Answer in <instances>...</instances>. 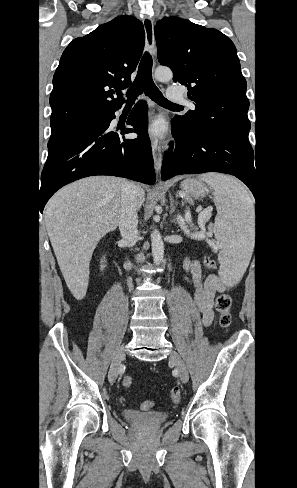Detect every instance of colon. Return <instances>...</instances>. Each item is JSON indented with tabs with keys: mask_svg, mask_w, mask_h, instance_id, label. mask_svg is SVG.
<instances>
[{
	"mask_svg": "<svg viewBox=\"0 0 297 488\" xmlns=\"http://www.w3.org/2000/svg\"><path fill=\"white\" fill-rule=\"evenodd\" d=\"M204 265L207 270H215L217 268L216 262L211 257H206L204 259ZM231 297L227 294H221L216 299V309L219 313V323L222 328L227 329L232 321L231 316ZM123 384L125 387H130L132 384V376L130 374H125L123 376ZM181 389L179 387H173L170 391V398L173 403H177L180 400ZM153 407V402L145 401L141 404V409L147 411Z\"/></svg>",
	"mask_w": 297,
	"mask_h": 488,
	"instance_id": "1",
	"label": "colon"
}]
</instances>
